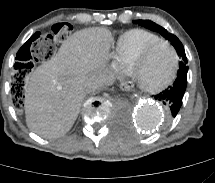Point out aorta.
<instances>
[{
    "label": "aorta",
    "mask_w": 215,
    "mask_h": 183,
    "mask_svg": "<svg viewBox=\"0 0 215 183\" xmlns=\"http://www.w3.org/2000/svg\"><path fill=\"white\" fill-rule=\"evenodd\" d=\"M134 120L137 126L152 130L158 127L163 120L162 108L154 102H141L134 107Z\"/></svg>",
    "instance_id": "obj_1"
}]
</instances>
